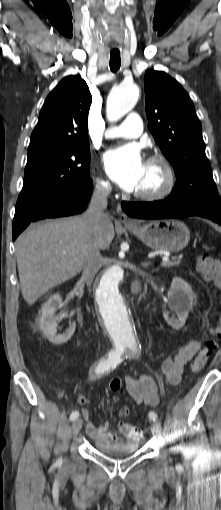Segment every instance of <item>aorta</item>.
<instances>
[{
    "instance_id": "1",
    "label": "aorta",
    "mask_w": 221,
    "mask_h": 510,
    "mask_svg": "<svg viewBox=\"0 0 221 510\" xmlns=\"http://www.w3.org/2000/svg\"><path fill=\"white\" fill-rule=\"evenodd\" d=\"M139 98L136 84H120L112 89L107 100V119L118 121L131 111ZM124 270L119 265L109 267L98 280L95 296L103 325L116 349L136 350L139 339L130 307L122 292Z\"/></svg>"
}]
</instances>
